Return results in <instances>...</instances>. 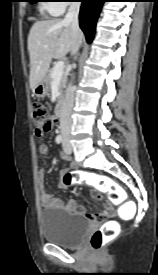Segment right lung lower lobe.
Listing matches in <instances>:
<instances>
[{
    "label": "right lung lower lobe",
    "instance_id": "obj_1",
    "mask_svg": "<svg viewBox=\"0 0 158 275\" xmlns=\"http://www.w3.org/2000/svg\"><path fill=\"white\" fill-rule=\"evenodd\" d=\"M81 2L80 27L86 36L87 42L91 43L95 34L96 22L105 0H81Z\"/></svg>",
    "mask_w": 158,
    "mask_h": 275
}]
</instances>
